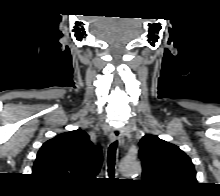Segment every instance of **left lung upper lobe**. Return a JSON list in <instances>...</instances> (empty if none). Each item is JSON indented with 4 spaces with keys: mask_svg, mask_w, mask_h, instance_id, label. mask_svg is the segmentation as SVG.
Returning a JSON list of instances; mask_svg holds the SVG:
<instances>
[{
    "mask_svg": "<svg viewBox=\"0 0 220 196\" xmlns=\"http://www.w3.org/2000/svg\"><path fill=\"white\" fill-rule=\"evenodd\" d=\"M143 181L162 193L175 194L197 183L191 159L176 145L154 135L139 142Z\"/></svg>",
    "mask_w": 220,
    "mask_h": 196,
    "instance_id": "5c2ea615",
    "label": "left lung upper lobe"
}]
</instances>
